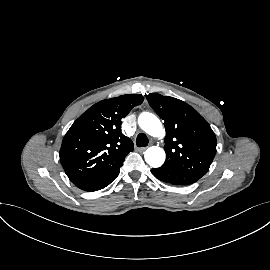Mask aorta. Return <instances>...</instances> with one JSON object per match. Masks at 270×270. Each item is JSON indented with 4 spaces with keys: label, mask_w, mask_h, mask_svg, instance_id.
<instances>
[{
    "label": "aorta",
    "mask_w": 270,
    "mask_h": 270,
    "mask_svg": "<svg viewBox=\"0 0 270 270\" xmlns=\"http://www.w3.org/2000/svg\"><path fill=\"white\" fill-rule=\"evenodd\" d=\"M140 128L151 136L159 137L163 133V126L160 120L152 113L143 112L138 117ZM145 161L153 168H158L165 161V151L157 146L149 147L145 151Z\"/></svg>",
    "instance_id": "1"
}]
</instances>
